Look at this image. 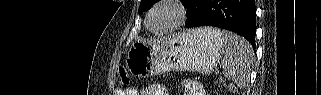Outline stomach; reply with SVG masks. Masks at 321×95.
Returning <instances> with one entry per match:
<instances>
[{"label": "stomach", "instance_id": "0dacf381", "mask_svg": "<svg viewBox=\"0 0 321 95\" xmlns=\"http://www.w3.org/2000/svg\"><path fill=\"white\" fill-rule=\"evenodd\" d=\"M223 53V44L198 29L156 41H135L128 49L126 66L139 77L166 71L211 73Z\"/></svg>", "mask_w": 321, "mask_h": 95}]
</instances>
